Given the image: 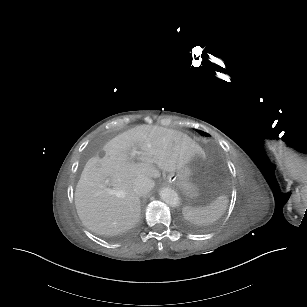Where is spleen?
I'll return each instance as SVG.
<instances>
[{"mask_svg": "<svg viewBox=\"0 0 307 307\" xmlns=\"http://www.w3.org/2000/svg\"><path fill=\"white\" fill-rule=\"evenodd\" d=\"M227 203V197L221 195L206 207H201L197 210L194 207H186L183 210V217L191 223H212L224 214Z\"/></svg>", "mask_w": 307, "mask_h": 307, "instance_id": "1", "label": "spleen"}]
</instances>
